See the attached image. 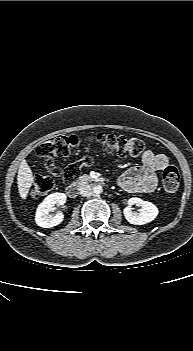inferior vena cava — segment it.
<instances>
[{"label":"inferior vena cava","instance_id":"602c4592","mask_svg":"<svg viewBox=\"0 0 193 351\" xmlns=\"http://www.w3.org/2000/svg\"><path fill=\"white\" fill-rule=\"evenodd\" d=\"M78 190L81 196H88L89 194H91L92 188L88 184H83L79 187Z\"/></svg>","mask_w":193,"mask_h":351}]
</instances>
